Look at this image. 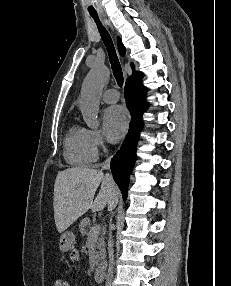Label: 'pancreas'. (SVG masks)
<instances>
[{
    "label": "pancreas",
    "mask_w": 231,
    "mask_h": 286,
    "mask_svg": "<svg viewBox=\"0 0 231 286\" xmlns=\"http://www.w3.org/2000/svg\"><path fill=\"white\" fill-rule=\"evenodd\" d=\"M96 227V225H92L90 219L85 217L79 224V230L82 235H86L88 238H92L97 243V249L95 255V264L97 265L104 256L105 253V241L104 235L106 233L104 228L96 227L95 231L92 232V228Z\"/></svg>",
    "instance_id": "pancreas-1"
}]
</instances>
